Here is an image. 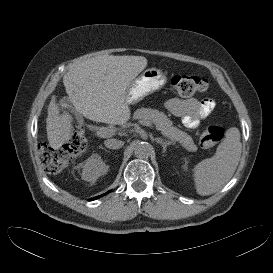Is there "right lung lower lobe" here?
Instances as JSON below:
<instances>
[{"label":"right lung lower lobe","mask_w":273,"mask_h":273,"mask_svg":"<svg viewBox=\"0 0 273 273\" xmlns=\"http://www.w3.org/2000/svg\"><path fill=\"white\" fill-rule=\"evenodd\" d=\"M109 192H110V191H109ZM109 192H107V193H109ZM104 195H106V193H105V194H103V195H100V196H97V197L91 198V199H89V201L94 200V199H97V198H100L101 196H104Z\"/></svg>","instance_id":"98d812e1"}]
</instances>
